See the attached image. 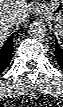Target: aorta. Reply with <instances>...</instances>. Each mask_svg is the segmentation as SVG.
Wrapping results in <instances>:
<instances>
[{"instance_id": "1", "label": "aorta", "mask_w": 63, "mask_h": 107, "mask_svg": "<svg viewBox=\"0 0 63 107\" xmlns=\"http://www.w3.org/2000/svg\"><path fill=\"white\" fill-rule=\"evenodd\" d=\"M47 32L46 25L41 21H34L29 25L28 33L35 39L44 38Z\"/></svg>"}]
</instances>
